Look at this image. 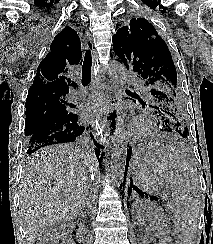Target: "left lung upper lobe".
Masks as SVG:
<instances>
[{"mask_svg":"<svg viewBox=\"0 0 213 244\" xmlns=\"http://www.w3.org/2000/svg\"><path fill=\"white\" fill-rule=\"evenodd\" d=\"M113 50L120 63L136 74L140 95H133L148 106L167 129L182 138L189 136L184 96L171 53L154 26L144 18L132 19L114 35ZM134 102L136 100L132 99Z\"/></svg>","mask_w":213,"mask_h":244,"instance_id":"5c2ea615","label":"left lung upper lobe"}]
</instances>
